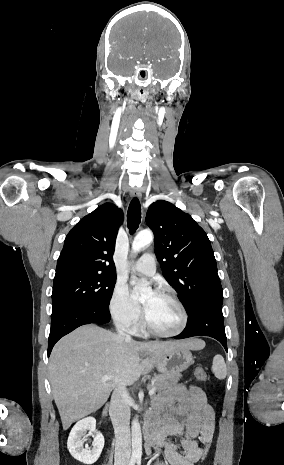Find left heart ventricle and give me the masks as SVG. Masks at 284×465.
I'll return each mask as SVG.
<instances>
[{
  "instance_id": "left-heart-ventricle-1",
  "label": "left heart ventricle",
  "mask_w": 284,
  "mask_h": 465,
  "mask_svg": "<svg viewBox=\"0 0 284 465\" xmlns=\"http://www.w3.org/2000/svg\"><path fill=\"white\" fill-rule=\"evenodd\" d=\"M145 305L144 314L150 327L159 333H171L177 330L181 316L176 306L162 295H151Z\"/></svg>"
}]
</instances>
